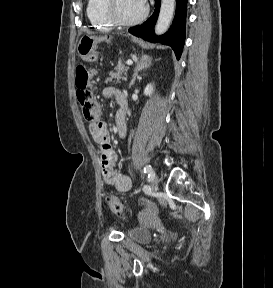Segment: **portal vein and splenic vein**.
<instances>
[{"instance_id": "1", "label": "portal vein and splenic vein", "mask_w": 273, "mask_h": 288, "mask_svg": "<svg viewBox=\"0 0 273 288\" xmlns=\"http://www.w3.org/2000/svg\"><path fill=\"white\" fill-rule=\"evenodd\" d=\"M126 64H127V65H132V64H133V61L129 59V60H127Z\"/></svg>"}]
</instances>
